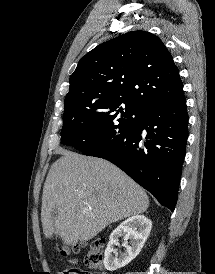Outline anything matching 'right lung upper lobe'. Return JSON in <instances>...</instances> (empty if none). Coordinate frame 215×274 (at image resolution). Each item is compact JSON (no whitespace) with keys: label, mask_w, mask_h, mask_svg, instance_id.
<instances>
[{"label":"right lung upper lobe","mask_w":215,"mask_h":274,"mask_svg":"<svg viewBox=\"0 0 215 274\" xmlns=\"http://www.w3.org/2000/svg\"><path fill=\"white\" fill-rule=\"evenodd\" d=\"M182 97L179 70L162 41L149 32L132 31L80 59L65 102L122 101L143 109Z\"/></svg>","instance_id":"obj_1"}]
</instances>
